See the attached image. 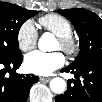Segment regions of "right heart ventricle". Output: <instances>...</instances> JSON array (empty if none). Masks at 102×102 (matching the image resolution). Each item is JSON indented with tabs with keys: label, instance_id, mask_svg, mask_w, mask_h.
<instances>
[{
	"label": "right heart ventricle",
	"instance_id": "e07e8e85",
	"mask_svg": "<svg viewBox=\"0 0 102 102\" xmlns=\"http://www.w3.org/2000/svg\"><path fill=\"white\" fill-rule=\"evenodd\" d=\"M39 24L56 37H63L73 33V26L69 20L58 14H47L39 18Z\"/></svg>",
	"mask_w": 102,
	"mask_h": 102
}]
</instances>
